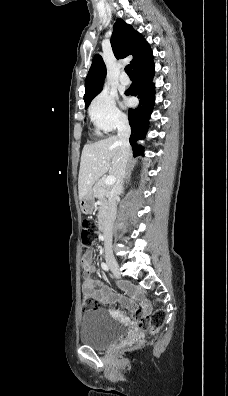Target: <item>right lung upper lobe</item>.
<instances>
[{"mask_svg":"<svg viewBox=\"0 0 228 396\" xmlns=\"http://www.w3.org/2000/svg\"><path fill=\"white\" fill-rule=\"evenodd\" d=\"M111 46L117 59L133 56L130 62L132 68L139 64L150 50L146 40L122 19H117L114 24ZM105 75V63L100 55H95L85 80V103L102 90Z\"/></svg>","mask_w":228,"mask_h":396,"instance_id":"right-lung-upper-lobe-1","label":"right lung upper lobe"}]
</instances>
